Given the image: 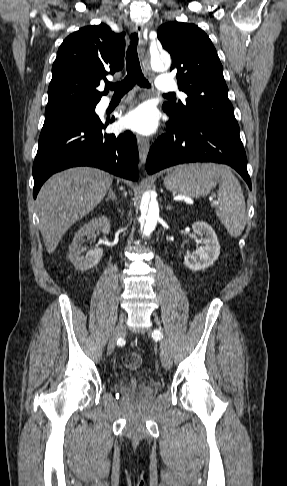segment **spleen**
<instances>
[{
    "label": "spleen",
    "mask_w": 287,
    "mask_h": 486,
    "mask_svg": "<svg viewBox=\"0 0 287 486\" xmlns=\"http://www.w3.org/2000/svg\"><path fill=\"white\" fill-rule=\"evenodd\" d=\"M206 167L220 174L217 197L219 205L215 213L232 237L242 234L246 225V205L241 185L235 175L226 167L206 164Z\"/></svg>",
    "instance_id": "obj_1"
}]
</instances>
